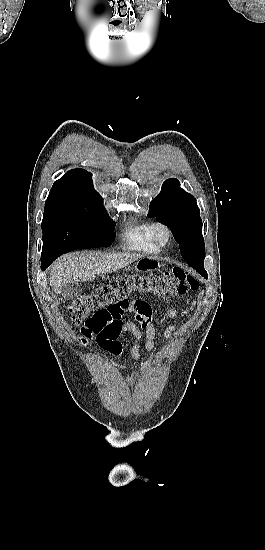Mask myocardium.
<instances>
[{
    "label": "myocardium",
    "mask_w": 265,
    "mask_h": 550,
    "mask_svg": "<svg viewBox=\"0 0 265 550\" xmlns=\"http://www.w3.org/2000/svg\"><path fill=\"white\" fill-rule=\"evenodd\" d=\"M161 234L165 236L164 239H161ZM152 236L155 244L160 248H164L171 243L173 234L172 230L167 224L157 222L154 223L152 226Z\"/></svg>",
    "instance_id": "f54148a6"
}]
</instances>
